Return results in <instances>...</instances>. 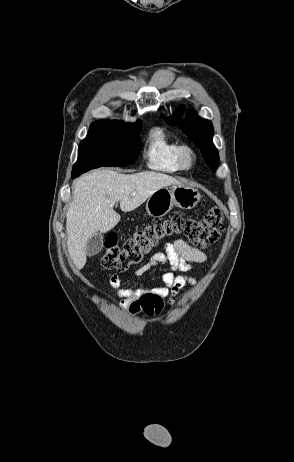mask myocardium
<instances>
[{
	"label": "myocardium",
	"mask_w": 294,
	"mask_h": 462,
	"mask_svg": "<svg viewBox=\"0 0 294 462\" xmlns=\"http://www.w3.org/2000/svg\"><path fill=\"white\" fill-rule=\"evenodd\" d=\"M178 162L182 169H191L195 163V152L188 145H181L178 151Z\"/></svg>",
	"instance_id": "myocardium-1"
}]
</instances>
